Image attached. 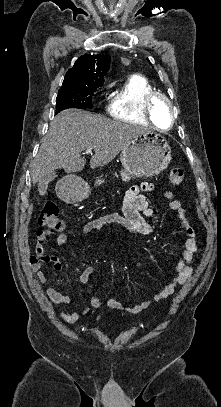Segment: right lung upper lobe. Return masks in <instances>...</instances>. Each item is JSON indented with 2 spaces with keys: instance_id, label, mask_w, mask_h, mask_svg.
I'll return each mask as SVG.
<instances>
[{
  "instance_id": "obj_1",
  "label": "right lung upper lobe",
  "mask_w": 221,
  "mask_h": 407,
  "mask_svg": "<svg viewBox=\"0 0 221 407\" xmlns=\"http://www.w3.org/2000/svg\"><path fill=\"white\" fill-rule=\"evenodd\" d=\"M109 55H83L66 73L61 89H95L104 83V76L110 67Z\"/></svg>"
}]
</instances>
